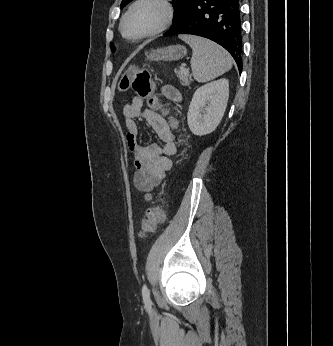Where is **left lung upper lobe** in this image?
Listing matches in <instances>:
<instances>
[{
  "instance_id": "1",
  "label": "left lung upper lobe",
  "mask_w": 333,
  "mask_h": 346,
  "mask_svg": "<svg viewBox=\"0 0 333 346\" xmlns=\"http://www.w3.org/2000/svg\"><path fill=\"white\" fill-rule=\"evenodd\" d=\"M131 1L132 0H122L120 7L123 8ZM173 1L175 2L173 22L174 24H176L185 17L186 11L188 7L191 5V3L193 2V0H173ZM112 50L113 51L115 50L113 45H112Z\"/></svg>"
}]
</instances>
